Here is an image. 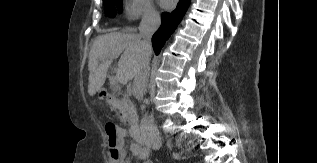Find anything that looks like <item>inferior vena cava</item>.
Segmentation results:
<instances>
[{
  "label": "inferior vena cava",
  "instance_id": "obj_1",
  "mask_svg": "<svg viewBox=\"0 0 317 163\" xmlns=\"http://www.w3.org/2000/svg\"><path fill=\"white\" fill-rule=\"evenodd\" d=\"M161 23L160 15L154 10L145 12L139 25V35L142 38L141 44L144 49V58L141 61L139 71L134 79L133 90L136 98L141 100L146 91L149 77V61L151 56V38ZM143 108V107H142ZM140 131L146 145L158 150L161 147L160 133L154 124L151 116L145 113L141 119Z\"/></svg>",
  "mask_w": 317,
  "mask_h": 163
}]
</instances>
